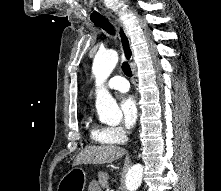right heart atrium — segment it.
<instances>
[{"instance_id": "d8ad5b80", "label": "right heart atrium", "mask_w": 221, "mask_h": 191, "mask_svg": "<svg viewBox=\"0 0 221 191\" xmlns=\"http://www.w3.org/2000/svg\"><path fill=\"white\" fill-rule=\"evenodd\" d=\"M104 133L112 143H123L127 139L126 131L122 127H106Z\"/></svg>"}]
</instances>
